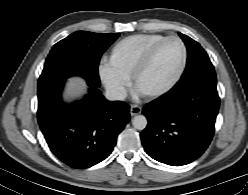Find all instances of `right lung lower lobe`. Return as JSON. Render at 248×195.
Returning <instances> with one entry per match:
<instances>
[{"label":"right lung lower lobe","mask_w":248,"mask_h":195,"mask_svg":"<svg viewBox=\"0 0 248 195\" xmlns=\"http://www.w3.org/2000/svg\"><path fill=\"white\" fill-rule=\"evenodd\" d=\"M64 83L65 79L38 88V123L59 160L71 168H89L111 154L118 134L130 120V107L107 101L90 84L83 100L66 105L61 100Z\"/></svg>","instance_id":"98d812e1"}]
</instances>
